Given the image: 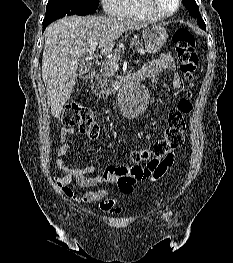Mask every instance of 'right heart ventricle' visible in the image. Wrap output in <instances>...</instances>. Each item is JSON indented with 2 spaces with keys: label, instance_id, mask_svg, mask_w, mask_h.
<instances>
[{
  "label": "right heart ventricle",
  "instance_id": "e07e8e85",
  "mask_svg": "<svg viewBox=\"0 0 233 263\" xmlns=\"http://www.w3.org/2000/svg\"><path fill=\"white\" fill-rule=\"evenodd\" d=\"M114 14L118 17L146 22L161 19L150 9L147 0H117Z\"/></svg>",
  "mask_w": 233,
  "mask_h": 263
}]
</instances>
